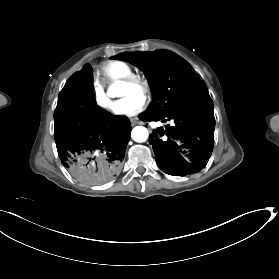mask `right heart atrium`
<instances>
[{
    "mask_svg": "<svg viewBox=\"0 0 279 279\" xmlns=\"http://www.w3.org/2000/svg\"><path fill=\"white\" fill-rule=\"evenodd\" d=\"M93 92L97 107L103 111H110L112 106L110 98L104 90L103 85L98 80H95L93 83Z\"/></svg>",
    "mask_w": 279,
    "mask_h": 279,
    "instance_id": "d8ad5b80",
    "label": "right heart atrium"
}]
</instances>
